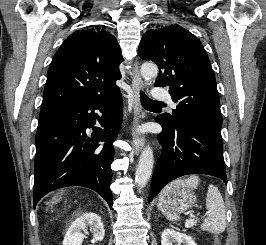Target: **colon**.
Here are the masks:
<instances>
[{
  "mask_svg": "<svg viewBox=\"0 0 266 245\" xmlns=\"http://www.w3.org/2000/svg\"><path fill=\"white\" fill-rule=\"evenodd\" d=\"M213 244L214 245H219L220 243L217 240H215V242Z\"/></svg>",
  "mask_w": 266,
  "mask_h": 245,
  "instance_id": "obj_1",
  "label": "colon"
}]
</instances>
